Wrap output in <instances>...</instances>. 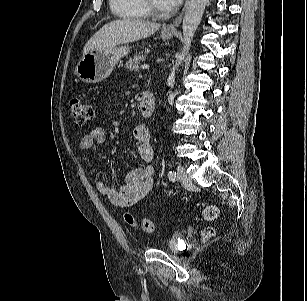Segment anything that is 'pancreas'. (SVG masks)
Segmentation results:
<instances>
[{"instance_id": "obj_1", "label": "pancreas", "mask_w": 307, "mask_h": 301, "mask_svg": "<svg viewBox=\"0 0 307 301\" xmlns=\"http://www.w3.org/2000/svg\"><path fill=\"white\" fill-rule=\"evenodd\" d=\"M146 60V55H143L142 52H139L137 55H135L133 58H131L128 62L125 64V68L129 69L130 71H138L140 62H143Z\"/></svg>"}]
</instances>
